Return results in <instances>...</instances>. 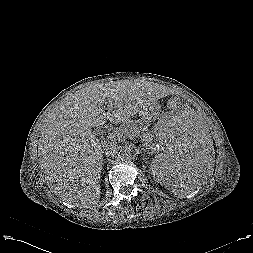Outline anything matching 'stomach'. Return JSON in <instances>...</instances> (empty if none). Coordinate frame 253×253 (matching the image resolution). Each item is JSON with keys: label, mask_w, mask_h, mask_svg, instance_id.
I'll return each instance as SVG.
<instances>
[{"label": "stomach", "mask_w": 253, "mask_h": 253, "mask_svg": "<svg viewBox=\"0 0 253 253\" xmlns=\"http://www.w3.org/2000/svg\"><path fill=\"white\" fill-rule=\"evenodd\" d=\"M140 117L143 121L149 122L156 118V113L154 108H151L150 106H147L145 108H142L139 112Z\"/></svg>", "instance_id": "1"}]
</instances>
